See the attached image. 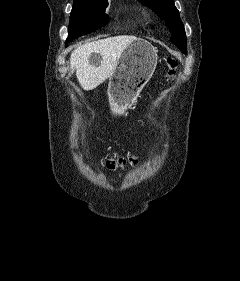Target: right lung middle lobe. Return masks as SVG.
Masks as SVG:
<instances>
[{"instance_id": "1", "label": "right lung middle lobe", "mask_w": 240, "mask_h": 281, "mask_svg": "<svg viewBox=\"0 0 240 281\" xmlns=\"http://www.w3.org/2000/svg\"><path fill=\"white\" fill-rule=\"evenodd\" d=\"M107 0H74L70 15L67 42L93 32L108 22L105 9Z\"/></svg>"}]
</instances>
